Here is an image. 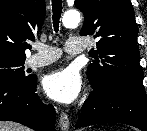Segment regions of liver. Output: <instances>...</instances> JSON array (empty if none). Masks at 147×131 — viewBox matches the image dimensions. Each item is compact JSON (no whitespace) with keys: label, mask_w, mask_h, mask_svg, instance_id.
<instances>
[{"label":"liver","mask_w":147,"mask_h":131,"mask_svg":"<svg viewBox=\"0 0 147 131\" xmlns=\"http://www.w3.org/2000/svg\"><path fill=\"white\" fill-rule=\"evenodd\" d=\"M0 131H30V130L15 122L0 121Z\"/></svg>","instance_id":"obj_1"}]
</instances>
